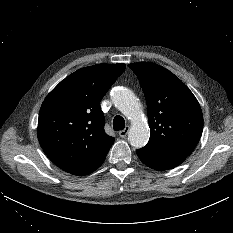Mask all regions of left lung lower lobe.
Returning a JSON list of instances; mask_svg holds the SVG:
<instances>
[{"instance_id":"obj_1","label":"left lung lower lobe","mask_w":233,"mask_h":233,"mask_svg":"<svg viewBox=\"0 0 233 233\" xmlns=\"http://www.w3.org/2000/svg\"><path fill=\"white\" fill-rule=\"evenodd\" d=\"M136 152L145 165L158 171L172 169L180 165L186 159V157L182 155L161 153L146 147Z\"/></svg>"}]
</instances>
